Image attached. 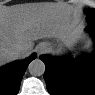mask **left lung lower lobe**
Instances as JSON below:
<instances>
[{"label": "left lung lower lobe", "instance_id": "1", "mask_svg": "<svg viewBox=\"0 0 95 95\" xmlns=\"http://www.w3.org/2000/svg\"><path fill=\"white\" fill-rule=\"evenodd\" d=\"M87 29L95 38V18L89 19ZM46 66L44 79L52 95H95V53L79 61L39 57Z\"/></svg>", "mask_w": 95, "mask_h": 95}]
</instances>
